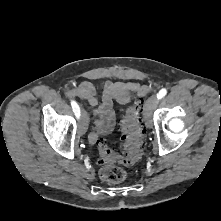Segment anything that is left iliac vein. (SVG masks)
I'll list each match as a JSON object with an SVG mask.
<instances>
[{
  "label": "left iliac vein",
  "mask_w": 221,
  "mask_h": 221,
  "mask_svg": "<svg viewBox=\"0 0 221 221\" xmlns=\"http://www.w3.org/2000/svg\"><path fill=\"white\" fill-rule=\"evenodd\" d=\"M158 104V99L155 95L149 97L144 106V120L147 127L151 128L153 126L152 113L156 105Z\"/></svg>",
  "instance_id": "1"
}]
</instances>
